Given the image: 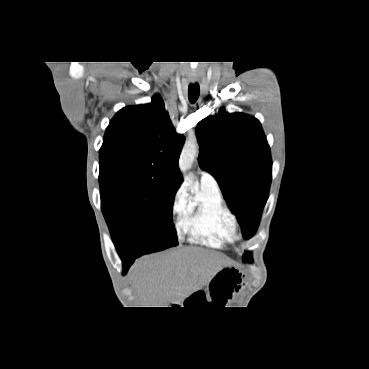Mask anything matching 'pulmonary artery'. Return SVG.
<instances>
[{
    "mask_svg": "<svg viewBox=\"0 0 369 369\" xmlns=\"http://www.w3.org/2000/svg\"><path fill=\"white\" fill-rule=\"evenodd\" d=\"M200 181L201 185L219 189L216 179L207 171H200Z\"/></svg>",
    "mask_w": 369,
    "mask_h": 369,
    "instance_id": "e3ab8cb5",
    "label": "pulmonary artery"
}]
</instances>
